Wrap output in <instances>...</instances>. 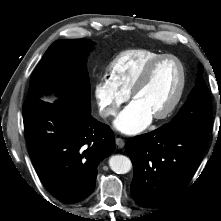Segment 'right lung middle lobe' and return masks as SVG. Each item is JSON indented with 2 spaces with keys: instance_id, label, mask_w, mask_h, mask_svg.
I'll return each mask as SVG.
<instances>
[{
  "instance_id": "dd1d6c3e",
  "label": "right lung middle lobe",
  "mask_w": 221,
  "mask_h": 221,
  "mask_svg": "<svg viewBox=\"0 0 221 221\" xmlns=\"http://www.w3.org/2000/svg\"><path fill=\"white\" fill-rule=\"evenodd\" d=\"M92 44L86 39L55 41L31 76L27 99L40 97L43 93H55L80 107L91 109L85 57Z\"/></svg>"
}]
</instances>
